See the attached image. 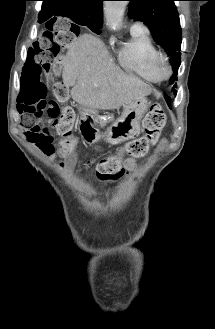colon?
Wrapping results in <instances>:
<instances>
[{"mask_svg": "<svg viewBox=\"0 0 215 329\" xmlns=\"http://www.w3.org/2000/svg\"><path fill=\"white\" fill-rule=\"evenodd\" d=\"M79 32L82 25H73L72 19H64L63 14H54L53 19H46V25H40L39 31H34V38H40L29 49L28 55H22V73L26 74V81H19L22 88L19 97V110L22 117L34 118L31 132L39 134L41 125L35 120L47 116L53 120V126L60 138V148L66 155H71L77 146L78 138L73 133L74 112L70 107H59L48 88L53 87L52 81H60L58 66H53L60 59V52L65 49H76ZM61 61V59H60ZM59 99L66 95V87L60 84L55 89ZM166 122L163 108L155 104L151 106L143 119L144 135L129 142L118 154L101 159L96 163V176L100 181H108L122 175L121 158L127 154L133 158L144 156L151 145L158 142L161 131ZM25 127V126H24ZM44 151H52L50 144L42 140L39 144Z\"/></svg>", "mask_w": 215, "mask_h": 329, "instance_id": "obj_1", "label": "colon"}]
</instances>
